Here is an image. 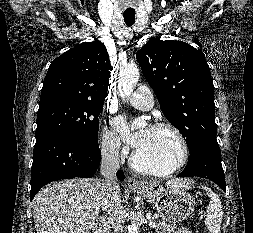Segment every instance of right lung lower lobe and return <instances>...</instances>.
<instances>
[{
	"label": "right lung lower lobe",
	"mask_w": 253,
	"mask_h": 233,
	"mask_svg": "<svg viewBox=\"0 0 253 233\" xmlns=\"http://www.w3.org/2000/svg\"><path fill=\"white\" fill-rule=\"evenodd\" d=\"M98 146L86 145L63 136L36 139L31 168L30 200L49 182L74 177L91 178L100 164ZM119 180L124 179L118 171Z\"/></svg>",
	"instance_id": "right-lung-lower-lobe-1"
}]
</instances>
